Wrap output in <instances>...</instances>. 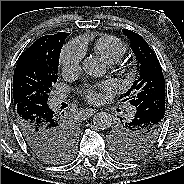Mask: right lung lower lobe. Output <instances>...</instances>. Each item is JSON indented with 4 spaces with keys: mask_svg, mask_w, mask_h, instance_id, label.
<instances>
[{
    "mask_svg": "<svg viewBox=\"0 0 184 184\" xmlns=\"http://www.w3.org/2000/svg\"><path fill=\"white\" fill-rule=\"evenodd\" d=\"M15 112L20 132L33 152L49 150L61 142L63 130L69 127L67 120L47 103H18Z\"/></svg>",
    "mask_w": 184,
    "mask_h": 184,
    "instance_id": "98d812e1",
    "label": "right lung lower lobe"
}]
</instances>
